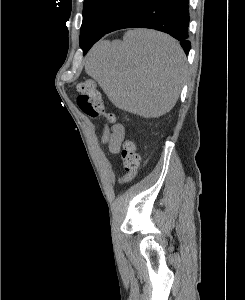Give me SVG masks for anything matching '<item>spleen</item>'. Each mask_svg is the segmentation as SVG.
<instances>
[{
	"label": "spleen",
	"instance_id": "3e777b00",
	"mask_svg": "<svg viewBox=\"0 0 245 300\" xmlns=\"http://www.w3.org/2000/svg\"><path fill=\"white\" fill-rule=\"evenodd\" d=\"M85 71L116 107L158 117L178 100L186 76L185 55L170 36L134 29L122 41L98 44L87 57Z\"/></svg>",
	"mask_w": 245,
	"mask_h": 300
}]
</instances>
